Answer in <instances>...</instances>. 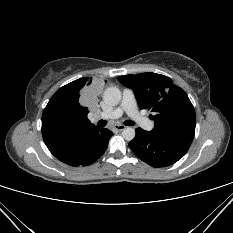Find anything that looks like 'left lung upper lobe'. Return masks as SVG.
I'll list each match as a JSON object with an SVG mask.
<instances>
[{
  "label": "left lung upper lobe",
  "instance_id": "5c2ea615",
  "mask_svg": "<svg viewBox=\"0 0 233 233\" xmlns=\"http://www.w3.org/2000/svg\"><path fill=\"white\" fill-rule=\"evenodd\" d=\"M118 80L131 88L141 109L154 112V129L161 139L192 143L196 118L194 107L184 90L164 75L141 73L120 76Z\"/></svg>",
  "mask_w": 233,
  "mask_h": 233
}]
</instances>
